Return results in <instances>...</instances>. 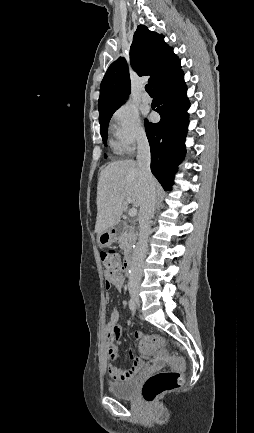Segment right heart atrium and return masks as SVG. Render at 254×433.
<instances>
[{"instance_id":"right-heart-atrium-1","label":"right heart atrium","mask_w":254,"mask_h":433,"mask_svg":"<svg viewBox=\"0 0 254 433\" xmlns=\"http://www.w3.org/2000/svg\"><path fill=\"white\" fill-rule=\"evenodd\" d=\"M110 130L115 137L116 148L124 154H132L147 141L138 112L129 106H122L113 113Z\"/></svg>"}]
</instances>
